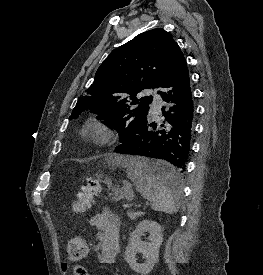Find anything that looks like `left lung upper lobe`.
Listing matches in <instances>:
<instances>
[{
    "instance_id": "obj_1",
    "label": "left lung upper lobe",
    "mask_w": 263,
    "mask_h": 275,
    "mask_svg": "<svg viewBox=\"0 0 263 275\" xmlns=\"http://www.w3.org/2000/svg\"><path fill=\"white\" fill-rule=\"evenodd\" d=\"M178 49L162 28L143 32L114 49L98 68L93 84L78 98L70 119L90 110L118 131L120 142L128 139L147 119L152 101L136 94L158 87Z\"/></svg>"
}]
</instances>
